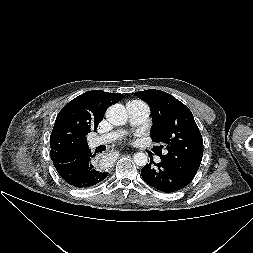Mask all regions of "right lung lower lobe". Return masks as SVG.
Instances as JSON below:
<instances>
[{
	"label": "right lung lower lobe",
	"instance_id": "obj_1",
	"mask_svg": "<svg viewBox=\"0 0 253 253\" xmlns=\"http://www.w3.org/2000/svg\"><path fill=\"white\" fill-rule=\"evenodd\" d=\"M91 151H87L74 160L53 162L59 175L68 184L77 188H87L104 180L108 173L99 171L93 163Z\"/></svg>",
	"mask_w": 253,
	"mask_h": 253
}]
</instances>
